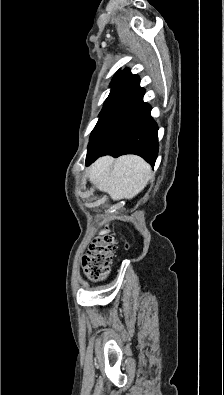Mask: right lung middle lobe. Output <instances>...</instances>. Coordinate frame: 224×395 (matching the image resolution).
<instances>
[{"mask_svg":"<svg viewBox=\"0 0 224 395\" xmlns=\"http://www.w3.org/2000/svg\"><path fill=\"white\" fill-rule=\"evenodd\" d=\"M116 77L117 76L114 77V80L112 81L111 86L114 84Z\"/></svg>","mask_w":224,"mask_h":395,"instance_id":"right-lung-middle-lobe-1","label":"right lung middle lobe"}]
</instances>
